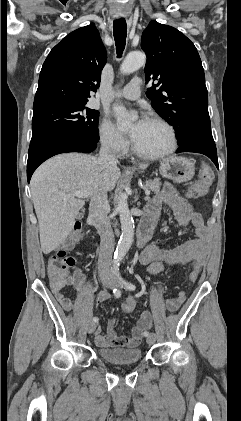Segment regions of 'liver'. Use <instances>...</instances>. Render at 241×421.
<instances>
[{
    "label": "liver",
    "mask_w": 241,
    "mask_h": 421,
    "mask_svg": "<svg viewBox=\"0 0 241 421\" xmlns=\"http://www.w3.org/2000/svg\"><path fill=\"white\" fill-rule=\"evenodd\" d=\"M119 178L116 165L103 166L97 157L87 154H60L44 162L30 182L43 253H50L66 240L85 205L84 198L64 199L62 195L85 191L92 199L100 192L112 191Z\"/></svg>",
    "instance_id": "6515ba94"
}]
</instances>
